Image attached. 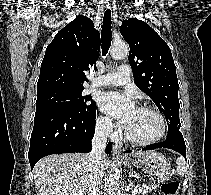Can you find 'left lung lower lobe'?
<instances>
[{"instance_id": "1", "label": "left lung lower lobe", "mask_w": 211, "mask_h": 195, "mask_svg": "<svg viewBox=\"0 0 211 195\" xmlns=\"http://www.w3.org/2000/svg\"><path fill=\"white\" fill-rule=\"evenodd\" d=\"M162 147L173 149L179 152L181 155H183L186 159V146H185L184 138L180 131L168 135L165 141L150 145L146 148H143V150H153V149L162 148ZM129 152H132V150L125 151V153H129Z\"/></svg>"}]
</instances>
